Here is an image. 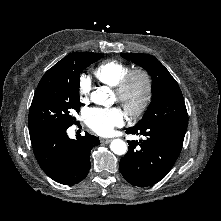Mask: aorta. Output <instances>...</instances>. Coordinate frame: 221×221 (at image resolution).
<instances>
[{
    "instance_id": "1",
    "label": "aorta",
    "mask_w": 221,
    "mask_h": 221,
    "mask_svg": "<svg viewBox=\"0 0 221 221\" xmlns=\"http://www.w3.org/2000/svg\"><path fill=\"white\" fill-rule=\"evenodd\" d=\"M109 96V90L106 88H98L92 92L91 100L97 104H106ZM110 149L117 155H124L127 152V144L121 139H114L110 144Z\"/></svg>"
}]
</instances>
